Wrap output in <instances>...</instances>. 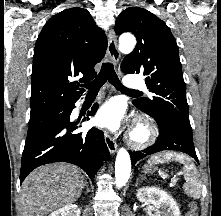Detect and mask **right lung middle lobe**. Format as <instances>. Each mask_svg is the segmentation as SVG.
<instances>
[{
	"label": "right lung middle lobe",
	"mask_w": 221,
	"mask_h": 216,
	"mask_svg": "<svg viewBox=\"0 0 221 216\" xmlns=\"http://www.w3.org/2000/svg\"><path fill=\"white\" fill-rule=\"evenodd\" d=\"M63 107L50 109L35 115H30L28 134L26 140L38 135L49 124H51L62 112Z\"/></svg>",
	"instance_id": "dd1d6c3e"
}]
</instances>
